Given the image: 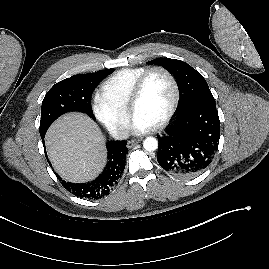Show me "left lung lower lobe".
<instances>
[{
  "mask_svg": "<svg viewBox=\"0 0 269 269\" xmlns=\"http://www.w3.org/2000/svg\"><path fill=\"white\" fill-rule=\"evenodd\" d=\"M220 122L216 106L193 107L158 136L157 161L169 174L193 178L212 162L218 150Z\"/></svg>",
  "mask_w": 269,
  "mask_h": 269,
  "instance_id": "0a47b994",
  "label": "left lung lower lobe"
}]
</instances>
